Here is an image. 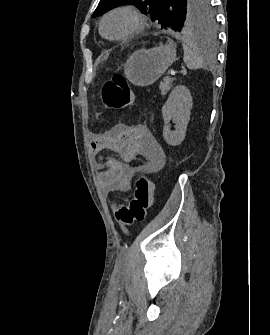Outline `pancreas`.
<instances>
[{
  "label": "pancreas",
  "mask_w": 270,
  "mask_h": 335,
  "mask_svg": "<svg viewBox=\"0 0 270 335\" xmlns=\"http://www.w3.org/2000/svg\"><path fill=\"white\" fill-rule=\"evenodd\" d=\"M172 82H174V78H163V82H161L159 86V90H161V96H165L167 92H169L170 88H172Z\"/></svg>",
  "instance_id": "cf45deb5"
}]
</instances>
